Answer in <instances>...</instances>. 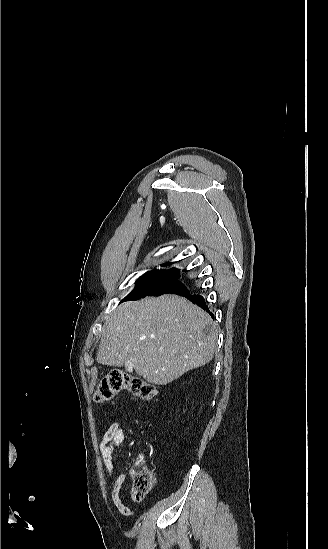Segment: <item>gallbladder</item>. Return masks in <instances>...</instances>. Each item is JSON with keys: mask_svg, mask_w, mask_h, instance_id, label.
<instances>
[{"mask_svg": "<svg viewBox=\"0 0 328 549\" xmlns=\"http://www.w3.org/2000/svg\"><path fill=\"white\" fill-rule=\"evenodd\" d=\"M126 371H128V373H133L134 369L132 367V365H124Z\"/></svg>", "mask_w": 328, "mask_h": 549, "instance_id": "obj_1", "label": "gallbladder"}]
</instances>
